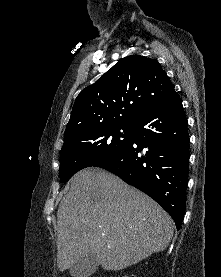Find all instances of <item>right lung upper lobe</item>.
Wrapping results in <instances>:
<instances>
[{"mask_svg": "<svg viewBox=\"0 0 221 277\" xmlns=\"http://www.w3.org/2000/svg\"><path fill=\"white\" fill-rule=\"evenodd\" d=\"M173 91L172 82L155 59L127 56L78 95L64 141L96 126L133 124Z\"/></svg>", "mask_w": 221, "mask_h": 277, "instance_id": "1", "label": "right lung upper lobe"}]
</instances>
